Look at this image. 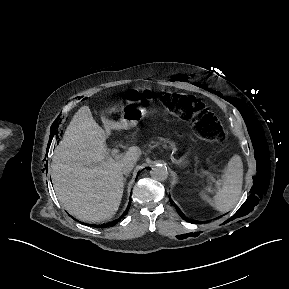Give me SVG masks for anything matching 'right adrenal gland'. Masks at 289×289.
I'll use <instances>...</instances> for the list:
<instances>
[{
    "label": "right adrenal gland",
    "mask_w": 289,
    "mask_h": 289,
    "mask_svg": "<svg viewBox=\"0 0 289 289\" xmlns=\"http://www.w3.org/2000/svg\"><path fill=\"white\" fill-rule=\"evenodd\" d=\"M128 174L126 175V177L124 178V182H126V178H127Z\"/></svg>",
    "instance_id": "1"
}]
</instances>
